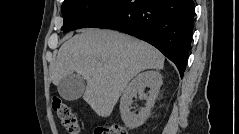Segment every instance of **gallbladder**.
<instances>
[{
  "instance_id": "gallbladder-1",
  "label": "gallbladder",
  "mask_w": 239,
  "mask_h": 134,
  "mask_svg": "<svg viewBox=\"0 0 239 134\" xmlns=\"http://www.w3.org/2000/svg\"><path fill=\"white\" fill-rule=\"evenodd\" d=\"M58 93L67 101L79 99L85 89V82L82 77L76 74H69L61 79L57 85Z\"/></svg>"
}]
</instances>
